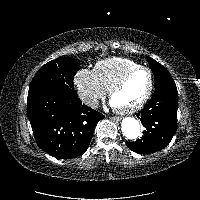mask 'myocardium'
I'll return each instance as SVG.
<instances>
[{
    "label": "myocardium",
    "instance_id": "1",
    "mask_svg": "<svg viewBox=\"0 0 200 200\" xmlns=\"http://www.w3.org/2000/svg\"><path fill=\"white\" fill-rule=\"evenodd\" d=\"M147 71L150 77V82H149V87L148 90L145 94V96L136 104L128 106V107H116L115 109L121 113V114H132L140 109H142L150 100L152 94H153V90H154V74L152 72V70L149 67L146 66H137L131 70H129L126 74H124L118 81H116L109 89V98L110 101L112 100V97L114 96V94L121 89L126 82L131 78V76H133L135 73L139 72V71Z\"/></svg>",
    "mask_w": 200,
    "mask_h": 200
}]
</instances>
